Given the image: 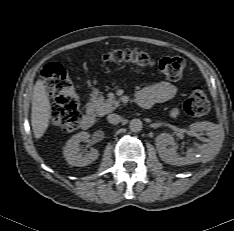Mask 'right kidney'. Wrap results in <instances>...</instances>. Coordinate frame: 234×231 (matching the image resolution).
<instances>
[{"mask_svg": "<svg viewBox=\"0 0 234 231\" xmlns=\"http://www.w3.org/2000/svg\"><path fill=\"white\" fill-rule=\"evenodd\" d=\"M89 137L90 135L87 132L82 131L73 135L67 141L63 148V155L68 164L71 166H87L98 158L99 152L96 149H91L85 155L80 153V142H88Z\"/></svg>", "mask_w": 234, "mask_h": 231, "instance_id": "right-kidney-1", "label": "right kidney"}]
</instances>
